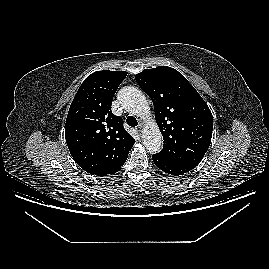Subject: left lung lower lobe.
Returning <instances> with one entry per match:
<instances>
[{"label":"left lung lower lobe","mask_w":269,"mask_h":269,"mask_svg":"<svg viewBox=\"0 0 269 269\" xmlns=\"http://www.w3.org/2000/svg\"><path fill=\"white\" fill-rule=\"evenodd\" d=\"M152 160L159 169L174 176L182 175L195 168L190 165H181L166 161L156 154L152 155Z\"/></svg>","instance_id":"1"}]
</instances>
